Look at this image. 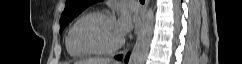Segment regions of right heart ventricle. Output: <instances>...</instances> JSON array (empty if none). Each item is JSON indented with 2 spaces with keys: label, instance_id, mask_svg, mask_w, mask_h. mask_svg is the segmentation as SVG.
Masks as SVG:
<instances>
[{
  "label": "right heart ventricle",
  "instance_id": "obj_1",
  "mask_svg": "<svg viewBox=\"0 0 242 64\" xmlns=\"http://www.w3.org/2000/svg\"><path fill=\"white\" fill-rule=\"evenodd\" d=\"M71 29H72V27L70 28V30H69V32L67 34V37H66V48H67V51L73 57H81V56H83V54H81L78 51H76L74 49V47L72 46V44H71V41H70Z\"/></svg>",
  "mask_w": 242,
  "mask_h": 64
}]
</instances>
